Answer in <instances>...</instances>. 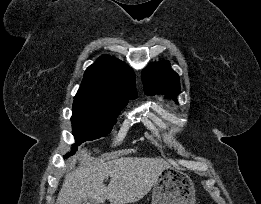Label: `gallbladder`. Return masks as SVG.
I'll list each match as a JSON object with an SVG mask.
<instances>
[{"label":"gallbladder","instance_id":"1","mask_svg":"<svg viewBox=\"0 0 261 204\" xmlns=\"http://www.w3.org/2000/svg\"><path fill=\"white\" fill-rule=\"evenodd\" d=\"M79 204H98V203L93 199H83Z\"/></svg>","mask_w":261,"mask_h":204}]
</instances>
